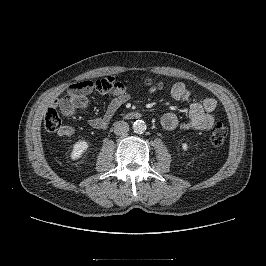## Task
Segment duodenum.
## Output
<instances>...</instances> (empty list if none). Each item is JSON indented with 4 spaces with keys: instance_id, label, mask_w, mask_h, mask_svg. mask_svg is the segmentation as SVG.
Wrapping results in <instances>:
<instances>
[{
    "instance_id": "obj_1",
    "label": "duodenum",
    "mask_w": 266,
    "mask_h": 266,
    "mask_svg": "<svg viewBox=\"0 0 266 266\" xmlns=\"http://www.w3.org/2000/svg\"><path fill=\"white\" fill-rule=\"evenodd\" d=\"M128 117L131 119H136L140 117V113L139 112H132L128 114Z\"/></svg>"
}]
</instances>
